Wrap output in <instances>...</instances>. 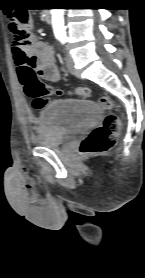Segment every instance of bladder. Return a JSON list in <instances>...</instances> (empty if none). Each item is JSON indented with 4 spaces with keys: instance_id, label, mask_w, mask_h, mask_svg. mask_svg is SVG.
Segmentation results:
<instances>
[{
    "instance_id": "31cf9c89",
    "label": "bladder",
    "mask_w": 145,
    "mask_h": 278,
    "mask_svg": "<svg viewBox=\"0 0 145 278\" xmlns=\"http://www.w3.org/2000/svg\"><path fill=\"white\" fill-rule=\"evenodd\" d=\"M100 110L85 99H56L44 105L37 116L33 144L41 148L61 149L71 137L80 135L99 120Z\"/></svg>"
}]
</instances>
